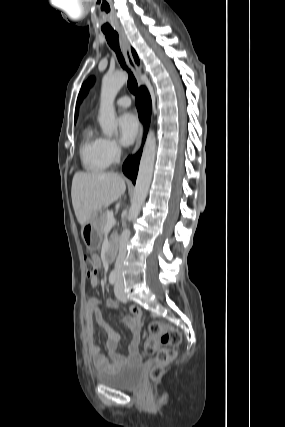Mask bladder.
Returning <instances> with one entry per match:
<instances>
[{
  "label": "bladder",
  "instance_id": "1",
  "mask_svg": "<svg viewBox=\"0 0 285 427\" xmlns=\"http://www.w3.org/2000/svg\"><path fill=\"white\" fill-rule=\"evenodd\" d=\"M142 364L134 363L118 371L100 373L97 380L115 389H135L142 381Z\"/></svg>",
  "mask_w": 285,
  "mask_h": 427
}]
</instances>
